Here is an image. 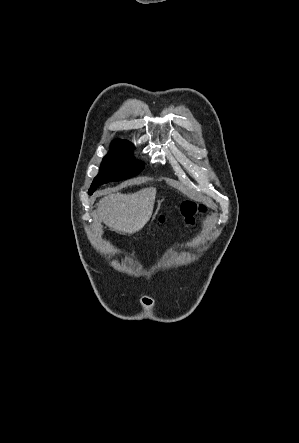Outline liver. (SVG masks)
Segmentation results:
<instances>
[{
	"mask_svg": "<svg viewBox=\"0 0 299 443\" xmlns=\"http://www.w3.org/2000/svg\"><path fill=\"white\" fill-rule=\"evenodd\" d=\"M156 188L149 187L132 194L112 193L98 204L97 218L111 230L134 234L141 230L152 216Z\"/></svg>",
	"mask_w": 299,
	"mask_h": 443,
	"instance_id": "1",
	"label": "liver"
}]
</instances>
